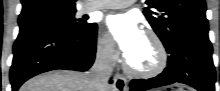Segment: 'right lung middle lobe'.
Returning <instances> with one entry per match:
<instances>
[{"label":"right lung middle lobe","instance_id":"obj_1","mask_svg":"<svg viewBox=\"0 0 220 91\" xmlns=\"http://www.w3.org/2000/svg\"><path fill=\"white\" fill-rule=\"evenodd\" d=\"M75 12L76 9L50 14L24 25H45L76 38L92 35L97 29V24L87 22L86 17L77 19Z\"/></svg>","mask_w":220,"mask_h":91}]
</instances>
